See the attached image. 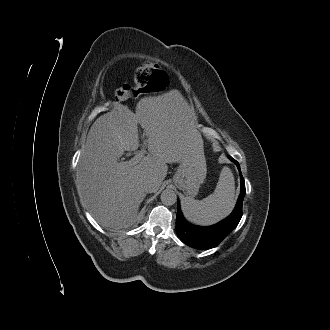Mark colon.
Segmentation results:
<instances>
[{"mask_svg": "<svg viewBox=\"0 0 330 330\" xmlns=\"http://www.w3.org/2000/svg\"><path fill=\"white\" fill-rule=\"evenodd\" d=\"M167 77L155 62H146L139 66L133 77V84H123L116 90L120 100L135 98L141 93L156 92L164 88Z\"/></svg>", "mask_w": 330, "mask_h": 330, "instance_id": "1", "label": "colon"}]
</instances>
